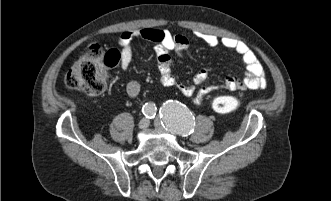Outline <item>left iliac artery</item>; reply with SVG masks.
<instances>
[{"mask_svg":"<svg viewBox=\"0 0 331 201\" xmlns=\"http://www.w3.org/2000/svg\"><path fill=\"white\" fill-rule=\"evenodd\" d=\"M160 117L166 130L187 136L194 130V116L178 101L169 100L160 108Z\"/></svg>","mask_w":331,"mask_h":201,"instance_id":"left-iliac-artery-1","label":"left iliac artery"}]
</instances>
